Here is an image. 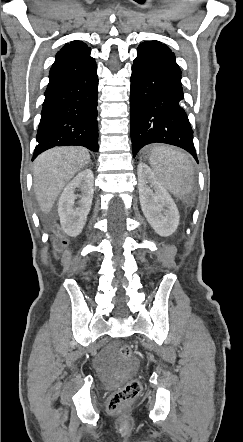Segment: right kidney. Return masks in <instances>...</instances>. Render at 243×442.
<instances>
[{
    "mask_svg": "<svg viewBox=\"0 0 243 442\" xmlns=\"http://www.w3.org/2000/svg\"><path fill=\"white\" fill-rule=\"evenodd\" d=\"M93 172L85 169L78 173L76 177L64 188L58 202V214L60 223L69 236H77L81 233L87 216L90 212L94 194ZM76 189H80L81 195H76ZM77 197L80 200L77 202Z\"/></svg>",
    "mask_w": 243,
    "mask_h": 442,
    "instance_id": "right-kidney-1",
    "label": "right kidney"
}]
</instances>
